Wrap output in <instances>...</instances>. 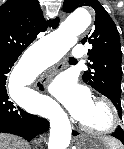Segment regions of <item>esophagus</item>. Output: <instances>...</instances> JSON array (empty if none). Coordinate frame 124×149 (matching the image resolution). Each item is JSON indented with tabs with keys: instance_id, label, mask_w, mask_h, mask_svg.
I'll use <instances>...</instances> for the list:
<instances>
[{
	"instance_id": "1",
	"label": "esophagus",
	"mask_w": 124,
	"mask_h": 149,
	"mask_svg": "<svg viewBox=\"0 0 124 149\" xmlns=\"http://www.w3.org/2000/svg\"><path fill=\"white\" fill-rule=\"evenodd\" d=\"M60 17H61V19H64L65 14L61 13ZM35 87H36V89H38L41 92H43L45 90V86L42 83V81H37L36 84H35Z\"/></svg>"
}]
</instances>
